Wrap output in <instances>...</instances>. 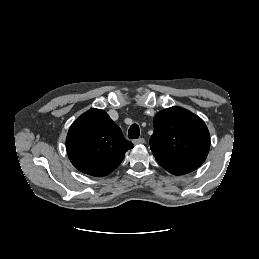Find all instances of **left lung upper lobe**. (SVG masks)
Wrapping results in <instances>:
<instances>
[{"label":"left lung upper lobe","mask_w":259,"mask_h":259,"mask_svg":"<svg viewBox=\"0 0 259 259\" xmlns=\"http://www.w3.org/2000/svg\"><path fill=\"white\" fill-rule=\"evenodd\" d=\"M150 147L157 162L199 167L210 148L208 128L192 112L174 106L157 113Z\"/></svg>","instance_id":"5c2ea615"}]
</instances>
